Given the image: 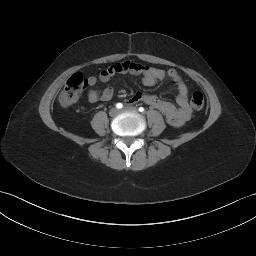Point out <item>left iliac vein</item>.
Masks as SVG:
<instances>
[{"label": "left iliac vein", "instance_id": "obj_1", "mask_svg": "<svg viewBox=\"0 0 256 256\" xmlns=\"http://www.w3.org/2000/svg\"><path fill=\"white\" fill-rule=\"evenodd\" d=\"M120 112H133V113H137L138 110L135 107L129 106V107L123 108Z\"/></svg>", "mask_w": 256, "mask_h": 256}]
</instances>
